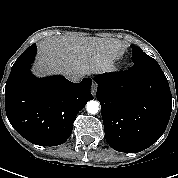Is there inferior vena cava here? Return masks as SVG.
<instances>
[{
  "mask_svg": "<svg viewBox=\"0 0 178 178\" xmlns=\"http://www.w3.org/2000/svg\"><path fill=\"white\" fill-rule=\"evenodd\" d=\"M67 78L72 82L78 83L81 81L82 76L80 74L73 73L68 75Z\"/></svg>",
  "mask_w": 178,
  "mask_h": 178,
  "instance_id": "602c4592",
  "label": "inferior vena cava"
}]
</instances>
